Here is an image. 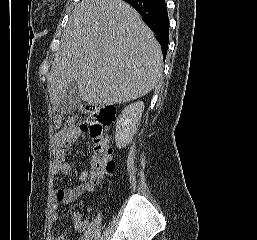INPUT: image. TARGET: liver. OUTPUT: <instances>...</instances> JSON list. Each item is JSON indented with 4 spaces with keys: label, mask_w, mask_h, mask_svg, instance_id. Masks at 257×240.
Masks as SVG:
<instances>
[{
    "label": "liver",
    "mask_w": 257,
    "mask_h": 240,
    "mask_svg": "<svg viewBox=\"0 0 257 240\" xmlns=\"http://www.w3.org/2000/svg\"><path fill=\"white\" fill-rule=\"evenodd\" d=\"M162 51L137 11L123 0H83L72 11L48 74L53 105L75 81L89 104L125 103L161 78Z\"/></svg>",
    "instance_id": "obj_1"
}]
</instances>
